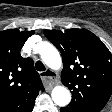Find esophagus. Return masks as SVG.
<instances>
[{
	"label": "esophagus",
	"instance_id": "1",
	"mask_svg": "<svg viewBox=\"0 0 112 112\" xmlns=\"http://www.w3.org/2000/svg\"><path fill=\"white\" fill-rule=\"evenodd\" d=\"M41 79L45 86L51 88L57 83V74L54 71L47 69L45 72L41 73Z\"/></svg>",
	"mask_w": 112,
	"mask_h": 112
}]
</instances>
